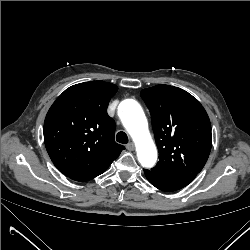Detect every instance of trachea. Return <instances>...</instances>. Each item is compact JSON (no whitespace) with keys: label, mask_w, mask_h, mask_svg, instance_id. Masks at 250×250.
<instances>
[{"label":"trachea","mask_w":250,"mask_h":250,"mask_svg":"<svg viewBox=\"0 0 250 250\" xmlns=\"http://www.w3.org/2000/svg\"><path fill=\"white\" fill-rule=\"evenodd\" d=\"M116 140L119 143L126 144V143H128L129 139H128V136L125 132L120 131L116 135Z\"/></svg>","instance_id":"obj_1"}]
</instances>
